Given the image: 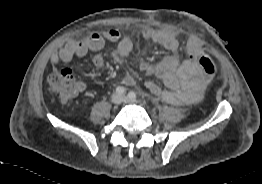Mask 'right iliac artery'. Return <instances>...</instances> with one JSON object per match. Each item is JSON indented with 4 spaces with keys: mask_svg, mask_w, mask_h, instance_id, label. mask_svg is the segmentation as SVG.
Returning <instances> with one entry per match:
<instances>
[{
    "mask_svg": "<svg viewBox=\"0 0 262 184\" xmlns=\"http://www.w3.org/2000/svg\"><path fill=\"white\" fill-rule=\"evenodd\" d=\"M116 92H117L118 94H124V93L126 92V89H125L124 87H122V86H118V87L116 88Z\"/></svg>",
    "mask_w": 262,
    "mask_h": 184,
    "instance_id": "1",
    "label": "right iliac artery"
}]
</instances>
